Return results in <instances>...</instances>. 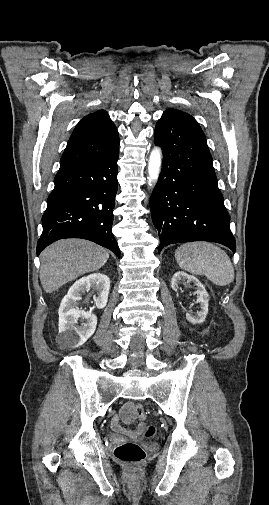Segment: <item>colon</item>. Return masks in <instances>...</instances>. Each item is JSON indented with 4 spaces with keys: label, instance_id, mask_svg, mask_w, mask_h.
<instances>
[{
    "label": "colon",
    "instance_id": "1",
    "mask_svg": "<svg viewBox=\"0 0 269 505\" xmlns=\"http://www.w3.org/2000/svg\"><path fill=\"white\" fill-rule=\"evenodd\" d=\"M134 413L139 418H142L144 416V411L140 406L135 407ZM154 433L155 427L153 425H149L145 429L144 436L151 437ZM114 455L122 463L137 465L145 458V451L139 444L135 442H123L115 447Z\"/></svg>",
    "mask_w": 269,
    "mask_h": 505
}]
</instances>
